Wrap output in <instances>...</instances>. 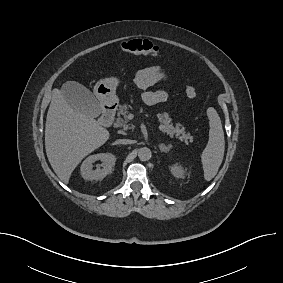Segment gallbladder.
<instances>
[{"mask_svg": "<svg viewBox=\"0 0 283 283\" xmlns=\"http://www.w3.org/2000/svg\"><path fill=\"white\" fill-rule=\"evenodd\" d=\"M61 92L69 105L78 112L92 117H98L101 108L94 95L82 84L67 81L61 87Z\"/></svg>", "mask_w": 283, "mask_h": 283, "instance_id": "gallbladder-1", "label": "gallbladder"}]
</instances>
